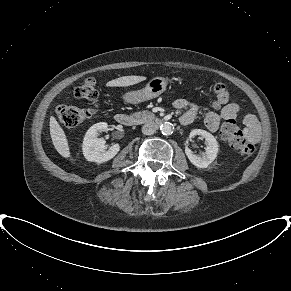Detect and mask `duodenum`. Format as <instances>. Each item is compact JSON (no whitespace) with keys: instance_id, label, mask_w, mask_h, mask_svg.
Listing matches in <instances>:
<instances>
[{"instance_id":"1","label":"duodenum","mask_w":291,"mask_h":291,"mask_svg":"<svg viewBox=\"0 0 291 291\" xmlns=\"http://www.w3.org/2000/svg\"><path fill=\"white\" fill-rule=\"evenodd\" d=\"M115 120L117 123L124 125V126H129L132 124L133 120L132 117L128 114L125 113H118L115 115ZM153 122L157 125L161 124L163 122L162 119L160 118H154Z\"/></svg>"}]
</instances>
